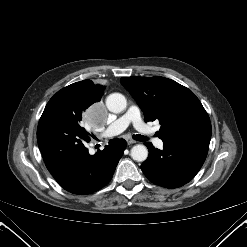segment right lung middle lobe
I'll list each match as a JSON object with an SVG mask.
<instances>
[{"mask_svg": "<svg viewBox=\"0 0 247 247\" xmlns=\"http://www.w3.org/2000/svg\"><path fill=\"white\" fill-rule=\"evenodd\" d=\"M96 102L91 97L65 87L49 100L43 113L56 114L79 123L82 111Z\"/></svg>", "mask_w": 247, "mask_h": 247, "instance_id": "right-lung-middle-lobe-1", "label": "right lung middle lobe"}]
</instances>
